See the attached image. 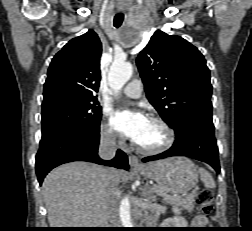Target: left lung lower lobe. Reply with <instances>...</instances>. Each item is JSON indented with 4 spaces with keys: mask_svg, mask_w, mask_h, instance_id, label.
<instances>
[{
    "mask_svg": "<svg viewBox=\"0 0 252 231\" xmlns=\"http://www.w3.org/2000/svg\"><path fill=\"white\" fill-rule=\"evenodd\" d=\"M176 140L173 146L158 155L142 159L143 162L171 156H187L210 164L220 172L218 148L212 116L193 114L184 117L173 128Z\"/></svg>",
    "mask_w": 252,
    "mask_h": 231,
    "instance_id": "1",
    "label": "left lung lower lobe"
}]
</instances>
